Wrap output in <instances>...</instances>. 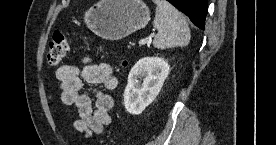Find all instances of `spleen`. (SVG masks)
Wrapping results in <instances>:
<instances>
[{"mask_svg":"<svg viewBox=\"0 0 276 145\" xmlns=\"http://www.w3.org/2000/svg\"><path fill=\"white\" fill-rule=\"evenodd\" d=\"M153 25L158 30L153 40L158 49L185 47L190 41V29L183 15L166 0H155Z\"/></svg>","mask_w":276,"mask_h":145,"instance_id":"spleen-1","label":"spleen"}]
</instances>
